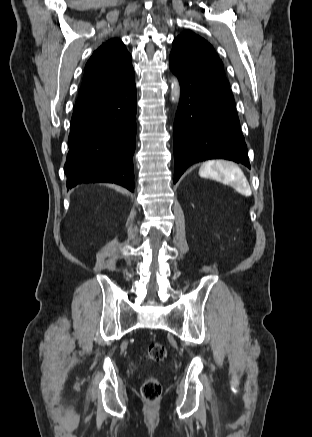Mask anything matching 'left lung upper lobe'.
<instances>
[{"mask_svg": "<svg viewBox=\"0 0 312 437\" xmlns=\"http://www.w3.org/2000/svg\"><path fill=\"white\" fill-rule=\"evenodd\" d=\"M172 55H175L189 66L229 88L222 61L213 47L200 36L185 31L173 41Z\"/></svg>", "mask_w": 312, "mask_h": 437, "instance_id": "left-lung-upper-lobe-1", "label": "left lung upper lobe"}]
</instances>
